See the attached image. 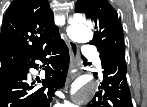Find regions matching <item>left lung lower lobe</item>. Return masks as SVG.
Here are the masks:
<instances>
[{
    "instance_id": "left-lung-lower-lobe-1",
    "label": "left lung lower lobe",
    "mask_w": 147,
    "mask_h": 107,
    "mask_svg": "<svg viewBox=\"0 0 147 107\" xmlns=\"http://www.w3.org/2000/svg\"><path fill=\"white\" fill-rule=\"evenodd\" d=\"M100 59L103 82L86 107H133L126 78L125 49L100 53Z\"/></svg>"
}]
</instances>
